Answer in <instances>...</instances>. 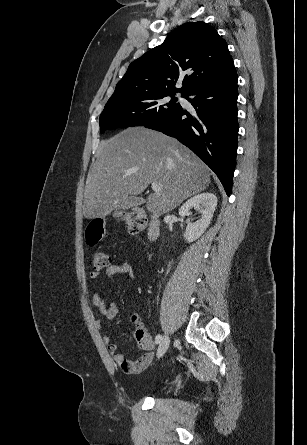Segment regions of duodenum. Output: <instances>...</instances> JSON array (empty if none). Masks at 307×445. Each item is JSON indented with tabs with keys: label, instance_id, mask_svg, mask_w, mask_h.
Masks as SVG:
<instances>
[{
	"label": "duodenum",
	"instance_id": "1",
	"mask_svg": "<svg viewBox=\"0 0 307 445\" xmlns=\"http://www.w3.org/2000/svg\"><path fill=\"white\" fill-rule=\"evenodd\" d=\"M160 232V220L157 214L153 213L150 216L147 236L150 241L155 240Z\"/></svg>",
	"mask_w": 307,
	"mask_h": 445
}]
</instances>
